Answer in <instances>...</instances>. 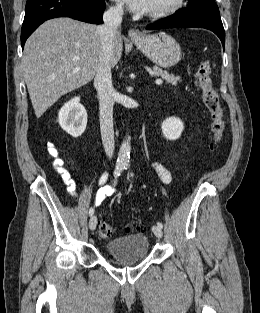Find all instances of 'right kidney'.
I'll return each mask as SVG.
<instances>
[{
  "mask_svg": "<svg viewBox=\"0 0 260 313\" xmlns=\"http://www.w3.org/2000/svg\"><path fill=\"white\" fill-rule=\"evenodd\" d=\"M58 121L61 128L74 138L84 133L87 125V112L80 104L79 97L63 105L58 113Z\"/></svg>",
  "mask_w": 260,
  "mask_h": 313,
  "instance_id": "obj_1",
  "label": "right kidney"
}]
</instances>
